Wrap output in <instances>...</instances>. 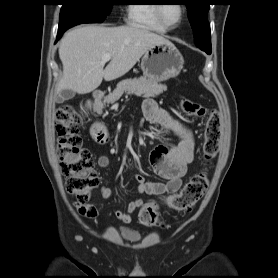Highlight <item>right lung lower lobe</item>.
<instances>
[{
  "mask_svg": "<svg viewBox=\"0 0 278 278\" xmlns=\"http://www.w3.org/2000/svg\"><path fill=\"white\" fill-rule=\"evenodd\" d=\"M65 30H58V35H57V41L59 40V38L62 36V34L64 33ZM56 41V42H57Z\"/></svg>",
  "mask_w": 278,
  "mask_h": 278,
  "instance_id": "obj_1",
  "label": "right lung lower lobe"
}]
</instances>
